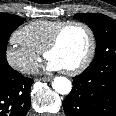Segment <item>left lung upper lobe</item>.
<instances>
[{
  "instance_id": "obj_1",
  "label": "left lung upper lobe",
  "mask_w": 116,
  "mask_h": 116,
  "mask_svg": "<svg viewBox=\"0 0 116 116\" xmlns=\"http://www.w3.org/2000/svg\"><path fill=\"white\" fill-rule=\"evenodd\" d=\"M74 18L86 23L96 39L95 57L85 71L116 68V20L101 13H78Z\"/></svg>"
}]
</instances>
